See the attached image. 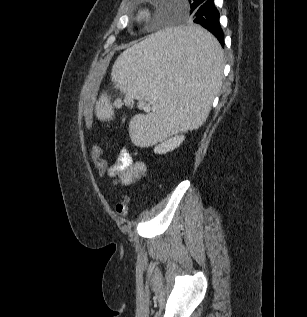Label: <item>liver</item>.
<instances>
[{
	"instance_id": "obj_1",
	"label": "liver",
	"mask_w": 307,
	"mask_h": 317,
	"mask_svg": "<svg viewBox=\"0 0 307 317\" xmlns=\"http://www.w3.org/2000/svg\"><path fill=\"white\" fill-rule=\"evenodd\" d=\"M105 65L108 63L106 60L103 62ZM102 65L101 67L96 68L97 74H91L90 75V81L87 83V88L90 89L89 93L87 94L86 102H85V113L84 118L85 119H92L93 113L92 108L94 107V104L97 103L98 99V91L99 89H102V75L105 73V65Z\"/></svg>"
}]
</instances>
